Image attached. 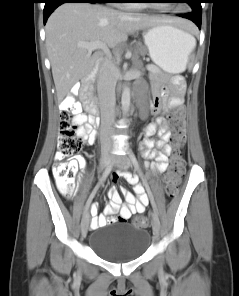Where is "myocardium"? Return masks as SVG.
Listing matches in <instances>:
<instances>
[{"label": "myocardium", "instance_id": "obj_1", "mask_svg": "<svg viewBox=\"0 0 239 296\" xmlns=\"http://www.w3.org/2000/svg\"><path fill=\"white\" fill-rule=\"evenodd\" d=\"M145 5L149 6V7H154V8H157V9H163V10H167L169 8H163V7H160V6H157L153 3H146Z\"/></svg>", "mask_w": 239, "mask_h": 296}]
</instances>
